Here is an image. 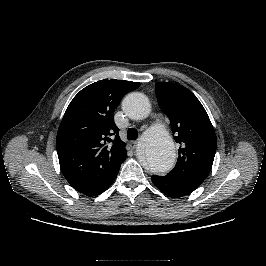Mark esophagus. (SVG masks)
<instances>
[{
    "label": "esophagus",
    "instance_id": "34e87169",
    "mask_svg": "<svg viewBox=\"0 0 266 266\" xmlns=\"http://www.w3.org/2000/svg\"><path fill=\"white\" fill-rule=\"evenodd\" d=\"M129 146H130L131 149H135L136 146H137V141H132V142H130V143H129Z\"/></svg>",
    "mask_w": 266,
    "mask_h": 266
}]
</instances>
